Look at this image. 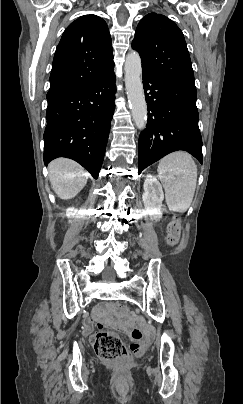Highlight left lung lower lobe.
<instances>
[{
  "label": "left lung lower lobe",
  "mask_w": 243,
  "mask_h": 404,
  "mask_svg": "<svg viewBox=\"0 0 243 404\" xmlns=\"http://www.w3.org/2000/svg\"><path fill=\"white\" fill-rule=\"evenodd\" d=\"M142 79L148 104V123L139 137V174L177 150L189 152L202 164L195 84L145 72Z\"/></svg>",
  "instance_id": "obj_1"
}]
</instances>
